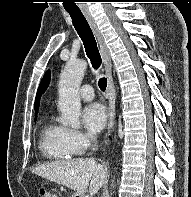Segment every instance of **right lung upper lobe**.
I'll return each mask as SVG.
<instances>
[{
	"instance_id": "right-lung-upper-lobe-1",
	"label": "right lung upper lobe",
	"mask_w": 191,
	"mask_h": 197,
	"mask_svg": "<svg viewBox=\"0 0 191 197\" xmlns=\"http://www.w3.org/2000/svg\"><path fill=\"white\" fill-rule=\"evenodd\" d=\"M50 82V71L48 70L45 75L43 76V79L41 80V83L38 87L36 98H35V110L37 111L39 108V101L41 98V95L46 91L48 85Z\"/></svg>"
}]
</instances>
